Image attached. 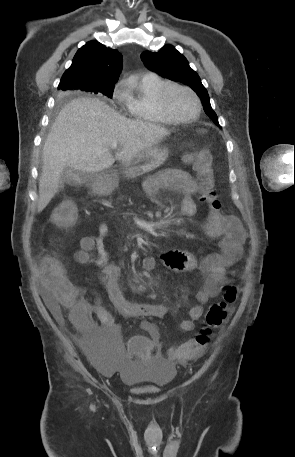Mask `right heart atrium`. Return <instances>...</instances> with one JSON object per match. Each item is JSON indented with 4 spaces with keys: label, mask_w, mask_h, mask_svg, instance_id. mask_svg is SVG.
Segmentation results:
<instances>
[{
    "label": "right heart atrium",
    "mask_w": 295,
    "mask_h": 457,
    "mask_svg": "<svg viewBox=\"0 0 295 457\" xmlns=\"http://www.w3.org/2000/svg\"><path fill=\"white\" fill-rule=\"evenodd\" d=\"M113 98L118 104L125 105L126 92L124 91V86L122 83H119L115 86L113 90Z\"/></svg>",
    "instance_id": "1"
}]
</instances>
